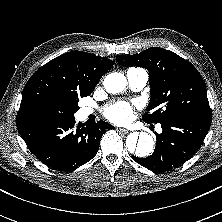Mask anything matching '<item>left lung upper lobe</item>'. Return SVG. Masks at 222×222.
I'll return each mask as SVG.
<instances>
[{"mask_svg":"<svg viewBox=\"0 0 222 222\" xmlns=\"http://www.w3.org/2000/svg\"><path fill=\"white\" fill-rule=\"evenodd\" d=\"M116 61L149 71L151 99L143 116L146 123H161L179 115L212 117L203 78L174 52L152 47L139 54L119 55Z\"/></svg>","mask_w":222,"mask_h":222,"instance_id":"5c2ea615","label":"left lung upper lobe"}]
</instances>
